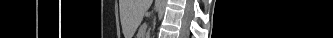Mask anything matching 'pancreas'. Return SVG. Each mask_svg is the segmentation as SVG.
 I'll list each match as a JSON object with an SVG mask.
<instances>
[{"label":"pancreas","mask_w":333,"mask_h":38,"mask_svg":"<svg viewBox=\"0 0 333 38\" xmlns=\"http://www.w3.org/2000/svg\"><path fill=\"white\" fill-rule=\"evenodd\" d=\"M142 32H143V28L140 30V34H142Z\"/></svg>","instance_id":"pancreas-1"}]
</instances>
